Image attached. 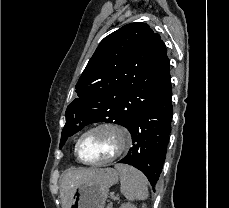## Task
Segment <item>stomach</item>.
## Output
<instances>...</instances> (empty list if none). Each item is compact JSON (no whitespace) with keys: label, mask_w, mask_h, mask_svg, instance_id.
<instances>
[{"label":"stomach","mask_w":229,"mask_h":208,"mask_svg":"<svg viewBox=\"0 0 229 208\" xmlns=\"http://www.w3.org/2000/svg\"><path fill=\"white\" fill-rule=\"evenodd\" d=\"M119 174L112 168L102 170L101 178L82 182L76 188L69 208H105L110 186L117 184Z\"/></svg>","instance_id":"stomach-1"}]
</instances>
